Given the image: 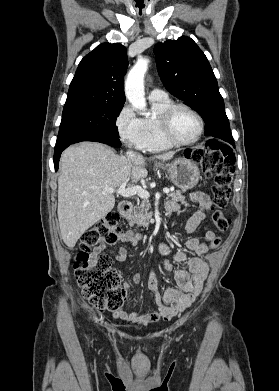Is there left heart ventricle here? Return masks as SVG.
Masks as SVG:
<instances>
[{
    "label": "left heart ventricle",
    "mask_w": 279,
    "mask_h": 391,
    "mask_svg": "<svg viewBox=\"0 0 279 391\" xmlns=\"http://www.w3.org/2000/svg\"><path fill=\"white\" fill-rule=\"evenodd\" d=\"M173 134L179 141H189L196 137L199 123L196 117L186 109H178L172 121Z\"/></svg>",
    "instance_id": "obj_1"
}]
</instances>
